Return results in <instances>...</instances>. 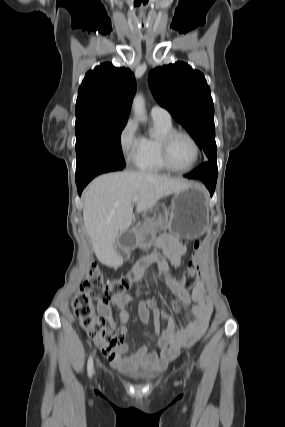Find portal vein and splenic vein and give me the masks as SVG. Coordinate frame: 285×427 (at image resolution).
Returning <instances> with one entry per match:
<instances>
[{"label": "portal vein and splenic vein", "mask_w": 285, "mask_h": 427, "mask_svg": "<svg viewBox=\"0 0 285 427\" xmlns=\"http://www.w3.org/2000/svg\"><path fill=\"white\" fill-rule=\"evenodd\" d=\"M138 200H139V197H138V196H135V197H133V199H132V203H136Z\"/></svg>", "instance_id": "obj_1"}]
</instances>
